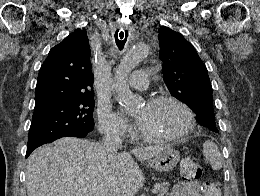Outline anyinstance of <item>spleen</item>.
<instances>
[{
    "mask_svg": "<svg viewBox=\"0 0 260 196\" xmlns=\"http://www.w3.org/2000/svg\"><path fill=\"white\" fill-rule=\"evenodd\" d=\"M203 154L208 160L212 170H221L222 168V158L221 154L214 142H211V140H207V142H204L203 144Z\"/></svg>",
    "mask_w": 260,
    "mask_h": 196,
    "instance_id": "obj_1",
    "label": "spleen"
}]
</instances>
